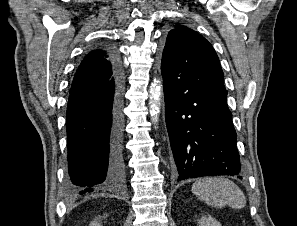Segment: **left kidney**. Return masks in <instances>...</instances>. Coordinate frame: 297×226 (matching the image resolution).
Segmentation results:
<instances>
[{
  "label": "left kidney",
  "mask_w": 297,
  "mask_h": 226,
  "mask_svg": "<svg viewBox=\"0 0 297 226\" xmlns=\"http://www.w3.org/2000/svg\"><path fill=\"white\" fill-rule=\"evenodd\" d=\"M198 224V226H221V224L210 215L201 217Z\"/></svg>",
  "instance_id": "5707ae66"
}]
</instances>
